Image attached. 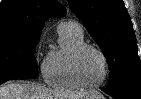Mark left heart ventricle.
<instances>
[{
    "label": "left heart ventricle",
    "mask_w": 141,
    "mask_h": 99,
    "mask_svg": "<svg viewBox=\"0 0 141 99\" xmlns=\"http://www.w3.org/2000/svg\"><path fill=\"white\" fill-rule=\"evenodd\" d=\"M80 71L83 80L89 84L100 82L104 76V62L94 50H86L80 60Z\"/></svg>",
    "instance_id": "1"
}]
</instances>
